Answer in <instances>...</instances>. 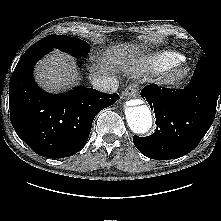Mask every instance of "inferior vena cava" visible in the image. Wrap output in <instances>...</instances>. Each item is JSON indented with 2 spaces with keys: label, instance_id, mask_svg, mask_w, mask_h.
I'll return each instance as SVG.
<instances>
[{
  "label": "inferior vena cava",
  "instance_id": "1",
  "mask_svg": "<svg viewBox=\"0 0 221 221\" xmlns=\"http://www.w3.org/2000/svg\"><path fill=\"white\" fill-rule=\"evenodd\" d=\"M91 84L94 89L104 93H113L118 89V81L114 77L106 75L93 77Z\"/></svg>",
  "mask_w": 221,
  "mask_h": 221
}]
</instances>
